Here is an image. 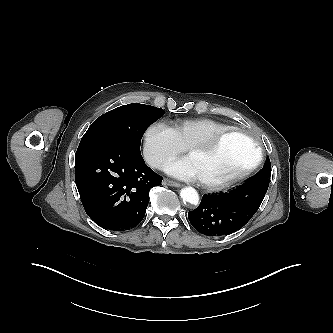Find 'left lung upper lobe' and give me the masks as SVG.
Listing matches in <instances>:
<instances>
[{
	"label": "left lung upper lobe",
	"instance_id": "5c2ea615",
	"mask_svg": "<svg viewBox=\"0 0 333 333\" xmlns=\"http://www.w3.org/2000/svg\"><path fill=\"white\" fill-rule=\"evenodd\" d=\"M271 177V164H270V159L267 158L266 162L264 164V167L253 177L248 179L247 182H253V181H258V180H268Z\"/></svg>",
	"mask_w": 333,
	"mask_h": 333
}]
</instances>
